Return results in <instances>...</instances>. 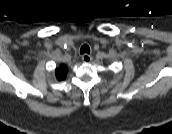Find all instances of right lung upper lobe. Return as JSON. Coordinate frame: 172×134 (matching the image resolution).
Here are the masks:
<instances>
[{
	"mask_svg": "<svg viewBox=\"0 0 172 134\" xmlns=\"http://www.w3.org/2000/svg\"><path fill=\"white\" fill-rule=\"evenodd\" d=\"M68 68L66 65H61L59 68H56L55 74L58 80H64L66 78Z\"/></svg>",
	"mask_w": 172,
	"mask_h": 134,
	"instance_id": "1",
	"label": "right lung upper lobe"
}]
</instances>
